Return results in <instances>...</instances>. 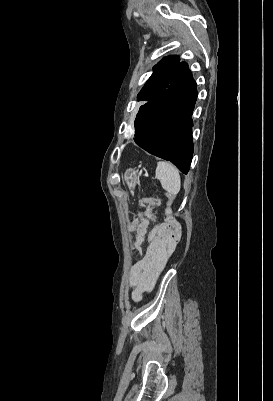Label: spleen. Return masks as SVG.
I'll return each instance as SVG.
<instances>
[{"label": "spleen", "mask_w": 273, "mask_h": 401, "mask_svg": "<svg viewBox=\"0 0 273 401\" xmlns=\"http://www.w3.org/2000/svg\"><path fill=\"white\" fill-rule=\"evenodd\" d=\"M155 174L167 192L174 194V196L178 194L181 188V178L176 166H173L170 162L160 160V162H157Z\"/></svg>", "instance_id": "obj_1"}]
</instances>
